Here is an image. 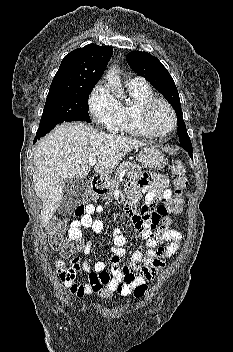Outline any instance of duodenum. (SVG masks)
<instances>
[{
	"instance_id": "1",
	"label": "duodenum",
	"mask_w": 233,
	"mask_h": 352,
	"mask_svg": "<svg viewBox=\"0 0 233 352\" xmlns=\"http://www.w3.org/2000/svg\"><path fill=\"white\" fill-rule=\"evenodd\" d=\"M104 180L100 176H94L91 182V189L94 194L103 193Z\"/></svg>"
}]
</instances>
